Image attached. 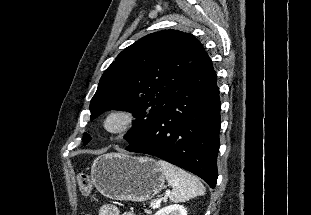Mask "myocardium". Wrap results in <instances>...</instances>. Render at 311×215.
<instances>
[{
    "label": "myocardium",
    "mask_w": 311,
    "mask_h": 215,
    "mask_svg": "<svg viewBox=\"0 0 311 215\" xmlns=\"http://www.w3.org/2000/svg\"><path fill=\"white\" fill-rule=\"evenodd\" d=\"M112 120H116L117 124L114 126L110 125ZM136 120L135 115L123 108H113L108 110L102 118L103 130L113 136H118L127 133L134 125Z\"/></svg>",
    "instance_id": "obj_1"
}]
</instances>
